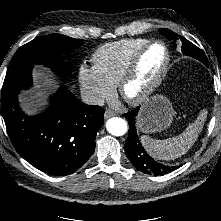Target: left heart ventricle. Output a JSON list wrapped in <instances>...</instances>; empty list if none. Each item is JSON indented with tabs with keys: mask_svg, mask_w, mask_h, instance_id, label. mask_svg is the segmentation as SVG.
Wrapping results in <instances>:
<instances>
[{
	"mask_svg": "<svg viewBox=\"0 0 221 221\" xmlns=\"http://www.w3.org/2000/svg\"><path fill=\"white\" fill-rule=\"evenodd\" d=\"M164 60L165 50L161 45L149 48L139 63L135 78L126 87L125 94L128 97L139 95L157 76Z\"/></svg>",
	"mask_w": 221,
	"mask_h": 221,
	"instance_id": "1",
	"label": "left heart ventricle"
}]
</instances>
